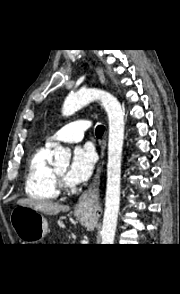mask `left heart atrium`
Instances as JSON below:
<instances>
[{
  "mask_svg": "<svg viewBox=\"0 0 180 294\" xmlns=\"http://www.w3.org/2000/svg\"><path fill=\"white\" fill-rule=\"evenodd\" d=\"M95 163L96 158L91 147L76 148L66 172V181L71 185H77L88 180L93 173Z\"/></svg>",
  "mask_w": 180,
  "mask_h": 294,
  "instance_id": "1",
  "label": "left heart atrium"
}]
</instances>
